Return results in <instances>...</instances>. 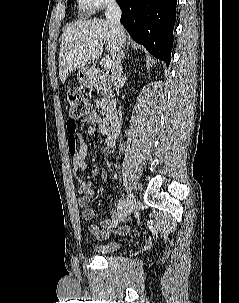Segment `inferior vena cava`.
<instances>
[{"instance_id": "inferior-vena-cava-1", "label": "inferior vena cava", "mask_w": 239, "mask_h": 303, "mask_svg": "<svg viewBox=\"0 0 239 303\" xmlns=\"http://www.w3.org/2000/svg\"><path fill=\"white\" fill-rule=\"evenodd\" d=\"M122 12L116 0H110L106 7L105 17L107 21L112 25L115 31L116 38L118 40V45L115 53V61L113 64V75L115 78L116 91L119 92V83L122 80V68H121V48L126 40V33L124 27L120 23Z\"/></svg>"}]
</instances>
